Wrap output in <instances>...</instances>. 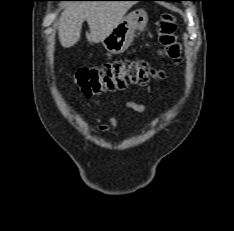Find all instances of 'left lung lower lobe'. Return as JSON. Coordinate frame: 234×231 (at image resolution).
<instances>
[{
  "mask_svg": "<svg viewBox=\"0 0 234 231\" xmlns=\"http://www.w3.org/2000/svg\"><path fill=\"white\" fill-rule=\"evenodd\" d=\"M149 1H151V0H149ZM163 1H176V0H163Z\"/></svg>",
  "mask_w": 234,
  "mask_h": 231,
  "instance_id": "0a47b994",
  "label": "left lung lower lobe"
}]
</instances>
